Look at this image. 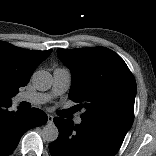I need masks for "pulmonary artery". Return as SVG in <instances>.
<instances>
[{
    "mask_svg": "<svg viewBox=\"0 0 156 156\" xmlns=\"http://www.w3.org/2000/svg\"><path fill=\"white\" fill-rule=\"evenodd\" d=\"M71 85V73L65 68H56L53 72V83L49 93L41 92H24L19 95L20 101L29 102L31 104H43L65 93ZM76 124H80L82 119L77 116L74 119Z\"/></svg>",
    "mask_w": 156,
    "mask_h": 156,
    "instance_id": "obj_1",
    "label": "pulmonary artery"
}]
</instances>
